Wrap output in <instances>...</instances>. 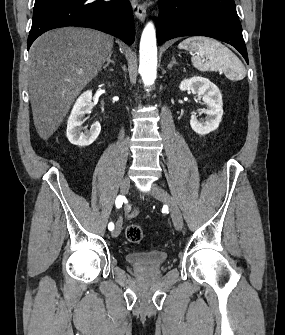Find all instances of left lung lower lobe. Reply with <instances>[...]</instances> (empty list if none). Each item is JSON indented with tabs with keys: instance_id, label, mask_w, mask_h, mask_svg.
Masks as SVG:
<instances>
[{
	"instance_id": "left-lung-lower-lobe-1",
	"label": "left lung lower lobe",
	"mask_w": 285,
	"mask_h": 335,
	"mask_svg": "<svg viewBox=\"0 0 285 335\" xmlns=\"http://www.w3.org/2000/svg\"><path fill=\"white\" fill-rule=\"evenodd\" d=\"M157 40L207 36L235 47L248 63L234 0H159Z\"/></svg>"
}]
</instances>
